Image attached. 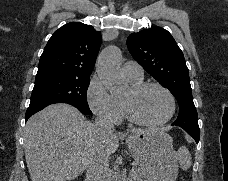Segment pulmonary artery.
Masks as SVG:
<instances>
[{
	"mask_svg": "<svg viewBox=\"0 0 228 181\" xmlns=\"http://www.w3.org/2000/svg\"><path fill=\"white\" fill-rule=\"evenodd\" d=\"M125 76L129 78H140L142 75L140 74L141 65L139 62H128V65L124 66Z\"/></svg>",
	"mask_w": 228,
	"mask_h": 181,
	"instance_id": "pulmonary-artery-1",
	"label": "pulmonary artery"
}]
</instances>
